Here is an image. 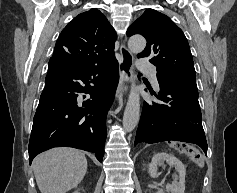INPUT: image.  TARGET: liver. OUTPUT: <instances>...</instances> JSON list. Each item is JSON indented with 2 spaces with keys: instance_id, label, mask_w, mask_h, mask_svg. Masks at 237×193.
I'll return each mask as SVG.
<instances>
[{
  "instance_id": "obj_1",
  "label": "liver",
  "mask_w": 237,
  "mask_h": 193,
  "mask_svg": "<svg viewBox=\"0 0 237 193\" xmlns=\"http://www.w3.org/2000/svg\"><path fill=\"white\" fill-rule=\"evenodd\" d=\"M32 167L41 193H66L83 180L87 159L80 150L54 148L36 156Z\"/></svg>"
}]
</instances>
